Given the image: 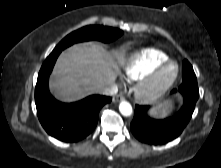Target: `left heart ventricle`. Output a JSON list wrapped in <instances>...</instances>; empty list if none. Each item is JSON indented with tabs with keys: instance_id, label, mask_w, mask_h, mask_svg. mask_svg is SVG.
I'll use <instances>...</instances> for the list:
<instances>
[{
	"instance_id": "left-heart-ventricle-1",
	"label": "left heart ventricle",
	"mask_w": 221,
	"mask_h": 168,
	"mask_svg": "<svg viewBox=\"0 0 221 168\" xmlns=\"http://www.w3.org/2000/svg\"><path fill=\"white\" fill-rule=\"evenodd\" d=\"M173 68L169 67L166 71H165V76L169 75L172 72Z\"/></svg>"
}]
</instances>
